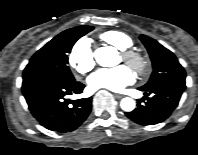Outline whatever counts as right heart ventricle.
Instances as JSON below:
<instances>
[{
	"instance_id": "1",
	"label": "right heart ventricle",
	"mask_w": 198,
	"mask_h": 155,
	"mask_svg": "<svg viewBox=\"0 0 198 155\" xmlns=\"http://www.w3.org/2000/svg\"><path fill=\"white\" fill-rule=\"evenodd\" d=\"M100 39L119 50L128 49L133 44L132 39L127 34L117 30L103 32L100 35Z\"/></svg>"
}]
</instances>
